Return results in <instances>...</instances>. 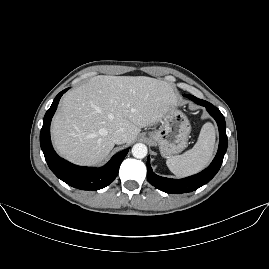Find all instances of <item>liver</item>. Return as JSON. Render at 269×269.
<instances>
[{
    "label": "liver",
    "mask_w": 269,
    "mask_h": 269,
    "mask_svg": "<svg viewBox=\"0 0 269 269\" xmlns=\"http://www.w3.org/2000/svg\"><path fill=\"white\" fill-rule=\"evenodd\" d=\"M177 108L174 90L165 81L145 76H95L64 97L53 120L58 153L79 164L105 159L114 148L118 129L131 143L141 128L157 124Z\"/></svg>",
    "instance_id": "1"
}]
</instances>
